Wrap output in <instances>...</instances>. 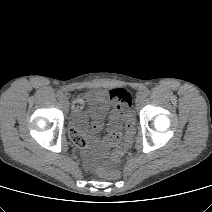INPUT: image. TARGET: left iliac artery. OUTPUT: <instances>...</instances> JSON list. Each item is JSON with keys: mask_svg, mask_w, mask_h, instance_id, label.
Returning <instances> with one entry per match:
<instances>
[{"mask_svg": "<svg viewBox=\"0 0 212 212\" xmlns=\"http://www.w3.org/2000/svg\"><path fill=\"white\" fill-rule=\"evenodd\" d=\"M143 94H144L145 97L149 96L150 95V90L149 89H145L143 91Z\"/></svg>", "mask_w": 212, "mask_h": 212, "instance_id": "left-iliac-artery-1", "label": "left iliac artery"}]
</instances>
